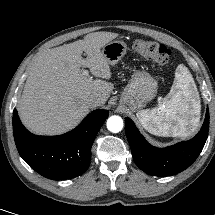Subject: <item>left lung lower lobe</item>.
Returning a JSON list of instances; mask_svg holds the SVG:
<instances>
[{"mask_svg":"<svg viewBox=\"0 0 215 215\" xmlns=\"http://www.w3.org/2000/svg\"><path fill=\"white\" fill-rule=\"evenodd\" d=\"M126 136L137 166L147 174L170 176L188 168L201 153L209 132V110L198 134L166 148L150 145L130 118H125Z\"/></svg>","mask_w":215,"mask_h":215,"instance_id":"1","label":"left lung lower lobe"}]
</instances>
